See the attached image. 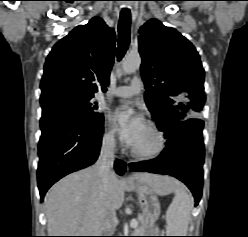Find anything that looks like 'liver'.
Instances as JSON below:
<instances>
[{
	"mask_svg": "<svg viewBox=\"0 0 248 237\" xmlns=\"http://www.w3.org/2000/svg\"><path fill=\"white\" fill-rule=\"evenodd\" d=\"M145 183L160 192L167 184L178 183L167 176L137 173L130 178L110 176L107 189L95 166L66 176L45 196L48 236H99L104 230L108 206L119 209L125 191Z\"/></svg>",
	"mask_w": 248,
	"mask_h": 237,
	"instance_id": "6515ba94",
	"label": "liver"
}]
</instances>
